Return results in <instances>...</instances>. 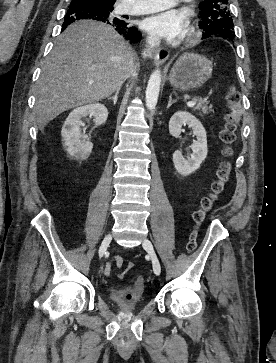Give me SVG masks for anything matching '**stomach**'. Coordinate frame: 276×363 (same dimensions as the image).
I'll return each mask as SVG.
<instances>
[{"mask_svg":"<svg viewBox=\"0 0 276 363\" xmlns=\"http://www.w3.org/2000/svg\"><path fill=\"white\" fill-rule=\"evenodd\" d=\"M213 63L208 58L184 53L174 63L170 73V84L179 90L190 91L199 89L208 81L212 74Z\"/></svg>","mask_w":276,"mask_h":363,"instance_id":"obj_1","label":"stomach"}]
</instances>
